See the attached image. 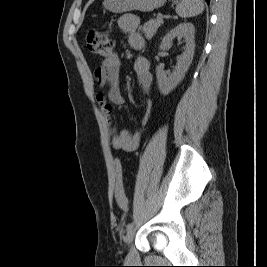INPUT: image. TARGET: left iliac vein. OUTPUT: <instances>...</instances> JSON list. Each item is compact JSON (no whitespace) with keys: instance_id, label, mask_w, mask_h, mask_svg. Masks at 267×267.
<instances>
[{"instance_id":"obj_1","label":"left iliac vein","mask_w":267,"mask_h":267,"mask_svg":"<svg viewBox=\"0 0 267 267\" xmlns=\"http://www.w3.org/2000/svg\"><path fill=\"white\" fill-rule=\"evenodd\" d=\"M135 236V230L132 228L131 230H129L125 236V243L127 245H130L134 239Z\"/></svg>"}]
</instances>
